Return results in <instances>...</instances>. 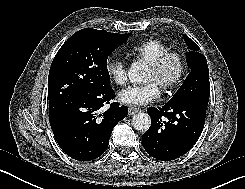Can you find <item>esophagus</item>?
<instances>
[{
    "label": "esophagus",
    "mask_w": 245,
    "mask_h": 189,
    "mask_svg": "<svg viewBox=\"0 0 245 189\" xmlns=\"http://www.w3.org/2000/svg\"><path fill=\"white\" fill-rule=\"evenodd\" d=\"M137 112H138V109L137 108L129 107L128 115L129 116H133Z\"/></svg>",
    "instance_id": "1"
}]
</instances>
